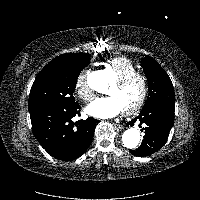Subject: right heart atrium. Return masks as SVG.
I'll return each mask as SVG.
<instances>
[{
	"label": "right heart atrium",
	"instance_id": "right-heart-atrium-1",
	"mask_svg": "<svg viewBox=\"0 0 200 200\" xmlns=\"http://www.w3.org/2000/svg\"><path fill=\"white\" fill-rule=\"evenodd\" d=\"M88 71L82 70L75 79L74 89L77 96L83 101H90L93 98V90L88 82Z\"/></svg>",
	"mask_w": 200,
	"mask_h": 200
}]
</instances>
